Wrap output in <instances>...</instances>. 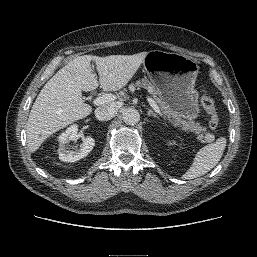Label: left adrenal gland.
<instances>
[{
  "mask_svg": "<svg viewBox=\"0 0 257 257\" xmlns=\"http://www.w3.org/2000/svg\"><path fill=\"white\" fill-rule=\"evenodd\" d=\"M148 116H153L159 119L158 115L155 112H153L151 109L148 110Z\"/></svg>",
  "mask_w": 257,
  "mask_h": 257,
  "instance_id": "left-adrenal-gland-1",
  "label": "left adrenal gland"
}]
</instances>
